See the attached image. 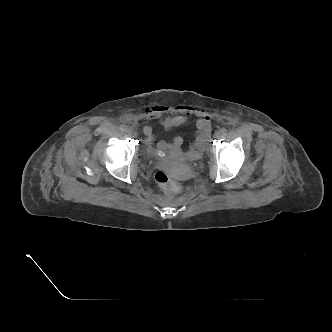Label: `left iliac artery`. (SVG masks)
<instances>
[{"label":"left iliac artery","mask_w":332,"mask_h":332,"mask_svg":"<svg viewBox=\"0 0 332 332\" xmlns=\"http://www.w3.org/2000/svg\"><path fill=\"white\" fill-rule=\"evenodd\" d=\"M220 131H221L222 134H226L227 133V129L226 128H221Z\"/></svg>","instance_id":"1"}]
</instances>
